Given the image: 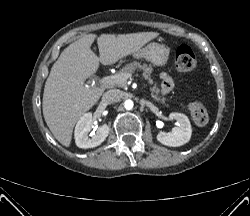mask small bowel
Wrapping results in <instances>:
<instances>
[{
    "label": "small bowel",
    "mask_w": 250,
    "mask_h": 216,
    "mask_svg": "<svg viewBox=\"0 0 250 216\" xmlns=\"http://www.w3.org/2000/svg\"><path fill=\"white\" fill-rule=\"evenodd\" d=\"M161 89L163 92H168L170 91V89L172 88V81L171 79L166 76V75H163L161 76Z\"/></svg>",
    "instance_id": "obj_1"
}]
</instances>
